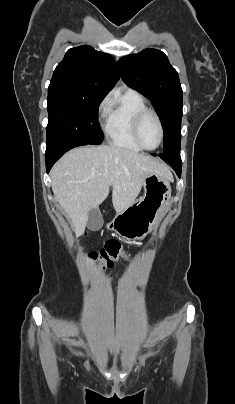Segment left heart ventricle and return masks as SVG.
Masks as SVG:
<instances>
[{
	"label": "left heart ventricle",
	"instance_id": "obj_1",
	"mask_svg": "<svg viewBox=\"0 0 235 404\" xmlns=\"http://www.w3.org/2000/svg\"><path fill=\"white\" fill-rule=\"evenodd\" d=\"M140 138L146 147L152 148L158 144L160 131L158 123L153 116L148 115L143 120L140 127Z\"/></svg>",
	"mask_w": 235,
	"mask_h": 404
}]
</instances>
